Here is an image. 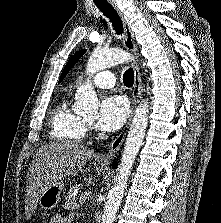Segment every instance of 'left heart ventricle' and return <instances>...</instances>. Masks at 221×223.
<instances>
[{"mask_svg": "<svg viewBox=\"0 0 221 223\" xmlns=\"http://www.w3.org/2000/svg\"><path fill=\"white\" fill-rule=\"evenodd\" d=\"M90 122L93 121V119H88Z\"/></svg>", "mask_w": 221, "mask_h": 223, "instance_id": "obj_1", "label": "left heart ventricle"}]
</instances>
